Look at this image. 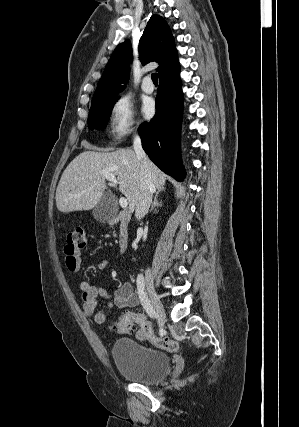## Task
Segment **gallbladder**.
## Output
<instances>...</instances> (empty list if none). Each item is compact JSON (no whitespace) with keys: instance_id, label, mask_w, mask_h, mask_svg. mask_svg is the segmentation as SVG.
I'll return each mask as SVG.
<instances>
[{"instance_id":"gallbladder-1","label":"gallbladder","mask_w":299,"mask_h":427,"mask_svg":"<svg viewBox=\"0 0 299 427\" xmlns=\"http://www.w3.org/2000/svg\"><path fill=\"white\" fill-rule=\"evenodd\" d=\"M117 213V203L110 193H105L92 211L93 217L100 223L113 221Z\"/></svg>"}]
</instances>
